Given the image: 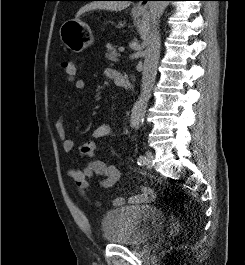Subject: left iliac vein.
<instances>
[{
  "mask_svg": "<svg viewBox=\"0 0 245 265\" xmlns=\"http://www.w3.org/2000/svg\"><path fill=\"white\" fill-rule=\"evenodd\" d=\"M152 161H153V154H152V152L147 151V152H146V156H145V162H144V165H145L147 168L151 169L152 166H153Z\"/></svg>",
  "mask_w": 245,
  "mask_h": 265,
  "instance_id": "left-iliac-vein-1",
  "label": "left iliac vein"
}]
</instances>
